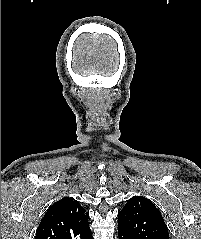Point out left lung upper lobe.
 Returning a JSON list of instances; mask_svg holds the SVG:
<instances>
[{
  "label": "left lung upper lobe",
  "mask_w": 201,
  "mask_h": 239,
  "mask_svg": "<svg viewBox=\"0 0 201 239\" xmlns=\"http://www.w3.org/2000/svg\"><path fill=\"white\" fill-rule=\"evenodd\" d=\"M118 226L139 239H169L167 226L155 205L145 197L133 196L118 213Z\"/></svg>",
  "instance_id": "left-lung-upper-lobe-1"
}]
</instances>
